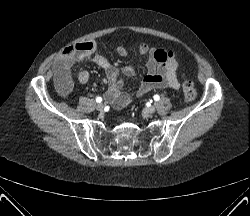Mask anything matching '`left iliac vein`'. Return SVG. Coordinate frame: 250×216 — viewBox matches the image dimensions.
<instances>
[{
    "label": "left iliac vein",
    "mask_w": 250,
    "mask_h": 216,
    "mask_svg": "<svg viewBox=\"0 0 250 216\" xmlns=\"http://www.w3.org/2000/svg\"><path fill=\"white\" fill-rule=\"evenodd\" d=\"M146 113L153 114L156 111V108L154 106H149L145 109Z\"/></svg>",
    "instance_id": "obj_1"
}]
</instances>
